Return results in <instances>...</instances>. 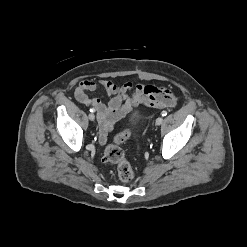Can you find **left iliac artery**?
<instances>
[{
  "mask_svg": "<svg viewBox=\"0 0 247 247\" xmlns=\"http://www.w3.org/2000/svg\"><path fill=\"white\" fill-rule=\"evenodd\" d=\"M161 115L164 117L167 115V112L166 111H162Z\"/></svg>",
  "mask_w": 247,
  "mask_h": 247,
  "instance_id": "left-iliac-artery-1",
  "label": "left iliac artery"
}]
</instances>
